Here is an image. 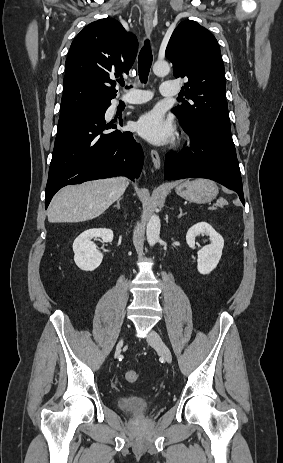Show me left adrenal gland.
I'll list each match as a JSON object with an SVG mask.
<instances>
[{"mask_svg":"<svg viewBox=\"0 0 283 463\" xmlns=\"http://www.w3.org/2000/svg\"><path fill=\"white\" fill-rule=\"evenodd\" d=\"M179 211H180V213H179V215H178V218H181L183 215H185V213H183L181 207L179 208Z\"/></svg>","mask_w":283,"mask_h":463,"instance_id":"obj_1","label":"left adrenal gland"}]
</instances>
